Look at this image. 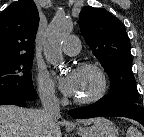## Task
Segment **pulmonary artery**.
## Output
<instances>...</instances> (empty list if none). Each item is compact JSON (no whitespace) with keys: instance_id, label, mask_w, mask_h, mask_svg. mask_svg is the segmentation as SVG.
Wrapping results in <instances>:
<instances>
[{"instance_id":"e3ab8cb5","label":"pulmonary artery","mask_w":144,"mask_h":137,"mask_svg":"<svg viewBox=\"0 0 144 137\" xmlns=\"http://www.w3.org/2000/svg\"><path fill=\"white\" fill-rule=\"evenodd\" d=\"M80 48V40L74 35L66 37L62 44V51L69 56L76 55L80 51Z\"/></svg>"}]
</instances>
